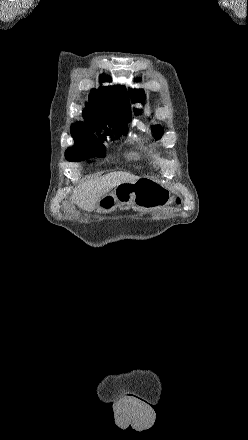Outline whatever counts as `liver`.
Instances as JSON below:
<instances>
[{"instance_id":"6515ba94","label":"liver","mask_w":248,"mask_h":440,"mask_svg":"<svg viewBox=\"0 0 248 440\" xmlns=\"http://www.w3.org/2000/svg\"><path fill=\"white\" fill-rule=\"evenodd\" d=\"M139 177L130 173L118 171L91 179L79 185L72 194L71 200L80 208L91 212L95 208L101 198L110 190L122 183H134Z\"/></svg>"}]
</instances>
